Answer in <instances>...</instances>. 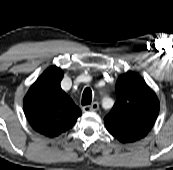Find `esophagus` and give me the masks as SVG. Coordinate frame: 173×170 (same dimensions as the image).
Returning <instances> with one entry per match:
<instances>
[{
  "instance_id": "obj_1",
  "label": "esophagus",
  "mask_w": 173,
  "mask_h": 170,
  "mask_svg": "<svg viewBox=\"0 0 173 170\" xmlns=\"http://www.w3.org/2000/svg\"><path fill=\"white\" fill-rule=\"evenodd\" d=\"M99 109V103L98 102H93L91 105L84 106L82 110L84 112L87 111H97Z\"/></svg>"
}]
</instances>
